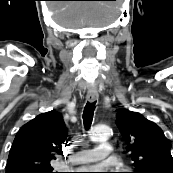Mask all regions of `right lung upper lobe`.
<instances>
[{
    "instance_id": "cb5924a9",
    "label": "right lung upper lobe",
    "mask_w": 173,
    "mask_h": 173,
    "mask_svg": "<svg viewBox=\"0 0 173 173\" xmlns=\"http://www.w3.org/2000/svg\"><path fill=\"white\" fill-rule=\"evenodd\" d=\"M67 137L60 113L52 110L36 116L17 132L7 160L6 173H32L52 168L50 161Z\"/></svg>"
}]
</instances>
